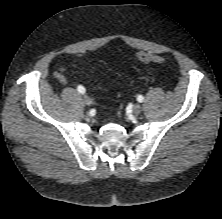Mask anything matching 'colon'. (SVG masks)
<instances>
[{
	"mask_svg": "<svg viewBox=\"0 0 222 219\" xmlns=\"http://www.w3.org/2000/svg\"><path fill=\"white\" fill-rule=\"evenodd\" d=\"M138 60L142 63H164L166 59L163 56L151 54V53H140L137 56Z\"/></svg>",
	"mask_w": 222,
	"mask_h": 219,
	"instance_id": "obj_1",
	"label": "colon"
}]
</instances>
